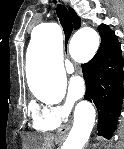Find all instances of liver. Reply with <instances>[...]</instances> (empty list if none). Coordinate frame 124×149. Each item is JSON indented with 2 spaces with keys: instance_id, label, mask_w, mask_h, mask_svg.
<instances>
[{
  "instance_id": "1",
  "label": "liver",
  "mask_w": 124,
  "mask_h": 149,
  "mask_svg": "<svg viewBox=\"0 0 124 149\" xmlns=\"http://www.w3.org/2000/svg\"><path fill=\"white\" fill-rule=\"evenodd\" d=\"M29 146L31 149H49L53 145L54 137L46 136H30L28 137Z\"/></svg>"
}]
</instances>
